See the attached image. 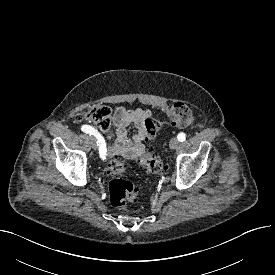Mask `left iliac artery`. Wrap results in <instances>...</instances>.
Listing matches in <instances>:
<instances>
[{
  "mask_svg": "<svg viewBox=\"0 0 275 275\" xmlns=\"http://www.w3.org/2000/svg\"><path fill=\"white\" fill-rule=\"evenodd\" d=\"M177 138L180 142H183L186 139V134L181 132V133L178 134Z\"/></svg>",
  "mask_w": 275,
  "mask_h": 275,
  "instance_id": "left-iliac-artery-1",
  "label": "left iliac artery"
}]
</instances>
